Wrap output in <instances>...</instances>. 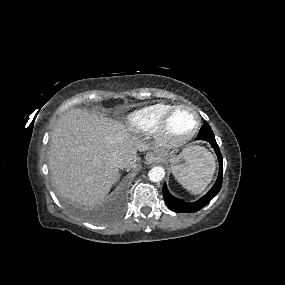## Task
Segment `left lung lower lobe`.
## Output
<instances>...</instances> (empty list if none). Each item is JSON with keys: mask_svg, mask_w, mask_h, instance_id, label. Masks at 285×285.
Wrapping results in <instances>:
<instances>
[{"mask_svg": "<svg viewBox=\"0 0 285 285\" xmlns=\"http://www.w3.org/2000/svg\"><path fill=\"white\" fill-rule=\"evenodd\" d=\"M197 140L208 141V142H210V144L214 148V150L218 156L219 165H220L219 175H218L216 183L209 190V192L206 195H204L202 198H200L198 201L193 202V203H185V202H182V201L175 199L169 193L167 186H166V183H164L163 195H164L165 203L171 210H173L175 212H196V211L200 210L201 208H203L206 204H208L221 189L222 173H223V161H222V156H221L219 147L216 143L213 131L208 124H204L201 127L200 132L197 136Z\"/></svg>", "mask_w": 285, "mask_h": 285, "instance_id": "1", "label": "left lung lower lobe"}]
</instances>
